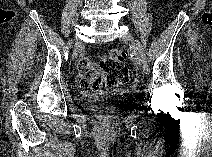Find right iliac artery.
Here are the masks:
<instances>
[{
    "mask_svg": "<svg viewBox=\"0 0 212 157\" xmlns=\"http://www.w3.org/2000/svg\"><path fill=\"white\" fill-rule=\"evenodd\" d=\"M71 44H72V42H71V41H69V42H68V46L70 47V46H71Z\"/></svg>",
    "mask_w": 212,
    "mask_h": 157,
    "instance_id": "obj_1",
    "label": "right iliac artery"
}]
</instances>
